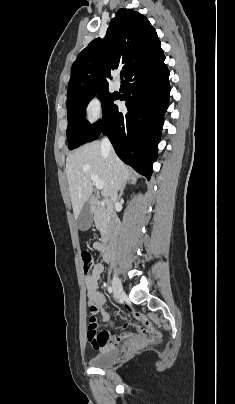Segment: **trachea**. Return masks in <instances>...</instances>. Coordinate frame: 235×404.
<instances>
[{
	"label": "trachea",
	"mask_w": 235,
	"mask_h": 404,
	"mask_svg": "<svg viewBox=\"0 0 235 404\" xmlns=\"http://www.w3.org/2000/svg\"><path fill=\"white\" fill-rule=\"evenodd\" d=\"M120 77H121V80L123 81V77H124V72L123 71L120 73Z\"/></svg>",
	"instance_id": "trachea-1"
}]
</instances>
